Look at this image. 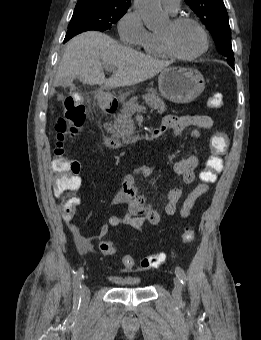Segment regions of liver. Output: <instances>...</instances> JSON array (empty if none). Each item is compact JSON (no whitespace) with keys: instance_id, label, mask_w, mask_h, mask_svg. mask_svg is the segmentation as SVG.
Segmentation results:
<instances>
[{"instance_id":"liver-1","label":"liver","mask_w":261,"mask_h":340,"mask_svg":"<svg viewBox=\"0 0 261 340\" xmlns=\"http://www.w3.org/2000/svg\"><path fill=\"white\" fill-rule=\"evenodd\" d=\"M171 62L154 59L97 31L84 32L66 46L58 68L54 88L78 78L87 85L106 88L131 86L150 79ZM113 68L112 76L105 78L104 69Z\"/></svg>"}]
</instances>
